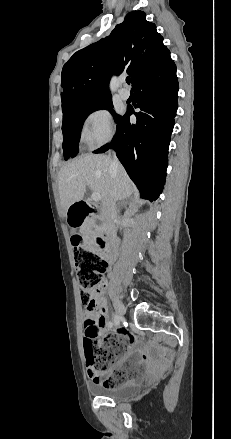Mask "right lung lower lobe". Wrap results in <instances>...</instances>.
Returning <instances> with one entry per match:
<instances>
[{
  "mask_svg": "<svg viewBox=\"0 0 231 439\" xmlns=\"http://www.w3.org/2000/svg\"><path fill=\"white\" fill-rule=\"evenodd\" d=\"M178 89L176 66L169 56L156 70L133 85L137 96L135 107L141 111L135 113L128 107L116 122L112 142L94 151L103 153L113 147L142 197L150 201L159 197L165 183ZM133 113L136 124L130 123Z\"/></svg>",
  "mask_w": 231,
  "mask_h": 439,
  "instance_id": "right-lung-lower-lobe-1",
  "label": "right lung lower lobe"
}]
</instances>
